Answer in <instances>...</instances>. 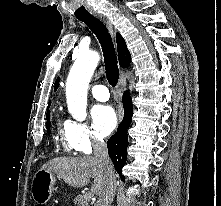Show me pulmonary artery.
Listing matches in <instances>:
<instances>
[{"label": "pulmonary artery", "instance_id": "obj_1", "mask_svg": "<svg viewBox=\"0 0 221 206\" xmlns=\"http://www.w3.org/2000/svg\"><path fill=\"white\" fill-rule=\"evenodd\" d=\"M91 93L98 101H107L109 99L108 88L104 85H94L91 89Z\"/></svg>", "mask_w": 221, "mask_h": 206}]
</instances>
